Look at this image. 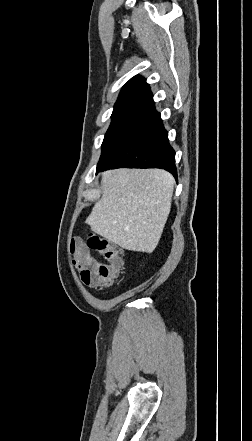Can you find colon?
<instances>
[{"mask_svg": "<svg viewBox=\"0 0 252 441\" xmlns=\"http://www.w3.org/2000/svg\"><path fill=\"white\" fill-rule=\"evenodd\" d=\"M71 252L73 264L80 273L82 281L92 287L113 285L123 268L121 251L97 234H89L86 243L73 241ZM92 252H96L106 263L98 261Z\"/></svg>", "mask_w": 252, "mask_h": 441, "instance_id": "colon-1", "label": "colon"}]
</instances>
